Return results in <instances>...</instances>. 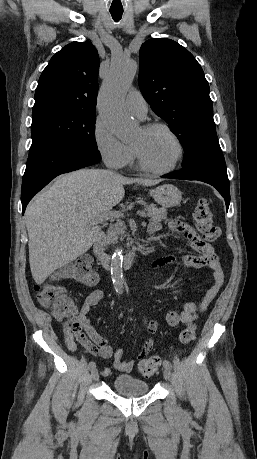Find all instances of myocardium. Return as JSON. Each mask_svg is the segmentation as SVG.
I'll return each instance as SVG.
<instances>
[{"label": "myocardium", "mask_w": 257, "mask_h": 459, "mask_svg": "<svg viewBox=\"0 0 257 459\" xmlns=\"http://www.w3.org/2000/svg\"><path fill=\"white\" fill-rule=\"evenodd\" d=\"M142 128L144 131H147V132L156 130V129H161L167 132L171 136V138L174 140L177 146V156L169 166L165 168H156V167L151 166L145 160L140 149L136 145H133L134 153L139 163V166L143 170L154 173V174H167V173L172 172L180 164V162L182 161L184 157V146L179 136L168 125L164 123H160V122L147 123Z\"/></svg>", "instance_id": "obj_1"}]
</instances>
